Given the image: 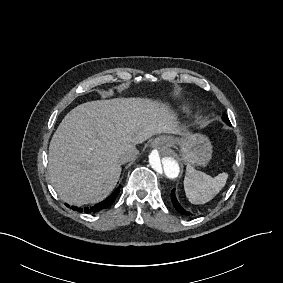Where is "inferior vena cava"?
I'll list each match as a JSON object with an SVG mask.
<instances>
[{
	"instance_id": "1",
	"label": "inferior vena cava",
	"mask_w": 283,
	"mask_h": 283,
	"mask_svg": "<svg viewBox=\"0 0 283 283\" xmlns=\"http://www.w3.org/2000/svg\"><path fill=\"white\" fill-rule=\"evenodd\" d=\"M139 151L133 145H128L125 147L124 151L119 153L116 158V161L120 164H124L129 161H133L136 159L137 154Z\"/></svg>"
}]
</instances>
